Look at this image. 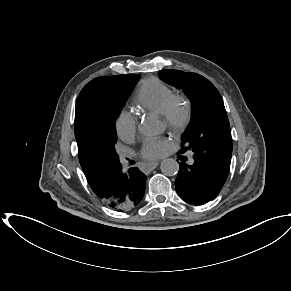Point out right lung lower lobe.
Returning a JSON list of instances; mask_svg holds the SVG:
<instances>
[{
    "label": "right lung lower lobe",
    "mask_w": 291,
    "mask_h": 291,
    "mask_svg": "<svg viewBox=\"0 0 291 291\" xmlns=\"http://www.w3.org/2000/svg\"><path fill=\"white\" fill-rule=\"evenodd\" d=\"M107 180L109 195L103 201L112 209L131 210L142 201L146 176L137 167H132L124 173L118 161L107 173Z\"/></svg>",
    "instance_id": "obj_1"
}]
</instances>
